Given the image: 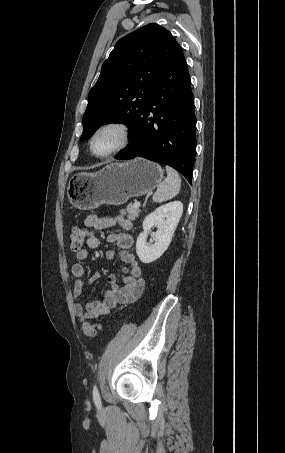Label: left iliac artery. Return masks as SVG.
Returning a JSON list of instances; mask_svg holds the SVG:
<instances>
[{"label":"left iliac artery","instance_id":"left-iliac-artery-1","mask_svg":"<svg viewBox=\"0 0 285 453\" xmlns=\"http://www.w3.org/2000/svg\"><path fill=\"white\" fill-rule=\"evenodd\" d=\"M93 400H94V402H95L97 407L101 406V398H100V395H99V392H98V389H97L96 385H94V388H93Z\"/></svg>","mask_w":285,"mask_h":453}]
</instances>
